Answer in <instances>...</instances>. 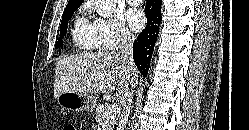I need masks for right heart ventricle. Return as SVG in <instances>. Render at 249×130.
<instances>
[{"label": "right heart ventricle", "mask_w": 249, "mask_h": 130, "mask_svg": "<svg viewBox=\"0 0 249 130\" xmlns=\"http://www.w3.org/2000/svg\"><path fill=\"white\" fill-rule=\"evenodd\" d=\"M72 42L80 50L92 51L100 49L93 23L89 22L83 13L77 16L74 22Z\"/></svg>", "instance_id": "1"}]
</instances>
